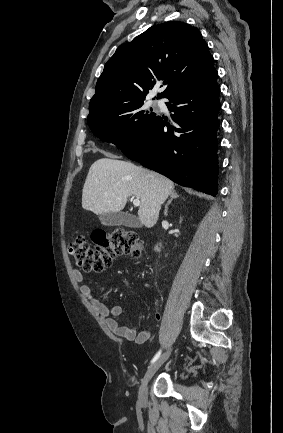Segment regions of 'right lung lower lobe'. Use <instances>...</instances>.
<instances>
[{
    "instance_id": "obj_1",
    "label": "right lung lower lobe",
    "mask_w": 283,
    "mask_h": 433,
    "mask_svg": "<svg viewBox=\"0 0 283 433\" xmlns=\"http://www.w3.org/2000/svg\"><path fill=\"white\" fill-rule=\"evenodd\" d=\"M218 74L167 98L176 124L156 115L140 139L123 153L174 182L217 194L220 110Z\"/></svg>"
}]
</instances>
